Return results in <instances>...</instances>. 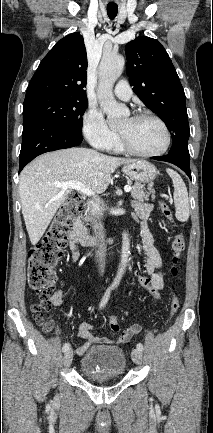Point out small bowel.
Segmentation results:
<instances>
[{"instance_id":"c3829d8e","label":"small bowel","mask_w":213,"mask_h":433,"mask_svg":"<svg viewBox=\"0 0 213 433\" xmlns=\"http://www.w3.org/2000/svg\"><path fill=\"white\" fill-rule=\"evenodd\" d=\"M135 214L141 221V245L145 255V272L144 274L136 273V278L139 284L146 289L157 301L160 297V291L164 286L163 275L160 271L162 267V258L154 245L153 236L150 233L146 221L152 210V206L146 202H135L134 204ZM79 242L76 238L75 233L72 231L69 235V249H70V261L76 262L80 257ZM49 301L56 307H63V292L58 289L55 290L49 297ZM53 322L49 321L43 325V330L48 332L52 329ZM127 330L132 332L131 337L140 332V326L137 324L132 325ZM92 326L88 323H82L78 327V334L85 338L83 344L77 347L76 352L79 355L84 354L91 346L99 342L111 343L112 340L109 338H100L92 335ZM130 337V338H131ZM129 338V339H130ZM129 339L124 340L121 336L117 339V342L124 343Z\"/></svg>"}]
</instances>
